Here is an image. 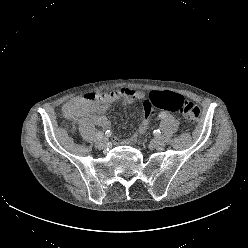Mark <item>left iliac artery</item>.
Instances as JSON below:
<instances>
[{
    "label": "left iliac artery",
    "instance_id": "1",
    "mask_svg": "<svg viewBox=\"0 0 248 248\" xmlns=\"http://www.w3.org/2000/svg\"><path fill=\"white\" fill-rule=\"evenodd\" d=\"M159 116H160L161 118H163V117H165V113L162 112ZM154 132H155L156 134H159V133H160L159 130H155Z\"/></svg>",
    "mask_w": 248,
    "mask_h": 248
}]
</instances>
